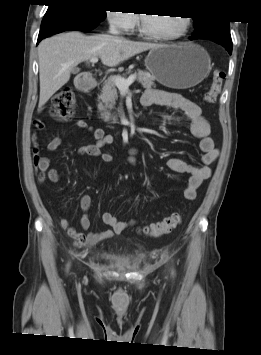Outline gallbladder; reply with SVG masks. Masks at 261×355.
<instances>
[{"label":"gallbladder","instance_id":"bac80fb5","mask_svg":"<svg viewBox=\"0 0 261 355\" xmlns=\"http://www.w3.org/2000/svg\"><path fill=\"white\" fill-rule=\"evenodd\" d=\"M79 71H80L79 68H74V69H73V72H74V73H78Z\"/></svg>","mask_w":261,"mask_h":355}]
</instances>
